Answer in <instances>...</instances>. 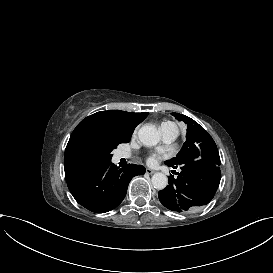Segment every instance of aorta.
I'll list each match as a JSON object with an SVG mask.
<instances>
[{
	"instance_id": "762f6f07",
	"label": "aorta",
	"mask_w": 273,
	"mask_h": 273,
	"mask_svg": "<svg viewBox=\"0 0 273 273\" xmlns=\"http://www.w3.org/2000/svg\"><path fill=\"white\" fill-rule=\"evenodd\" d=\"M138 138L144 146H155L160 141V134L157 128L150 124L143 125L138 131ZM153 187L163 190L168 185V178L163 173H155L151 178Z\"/></svg>"
}]
</instances>
